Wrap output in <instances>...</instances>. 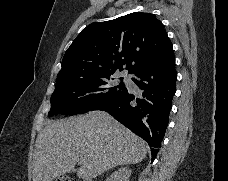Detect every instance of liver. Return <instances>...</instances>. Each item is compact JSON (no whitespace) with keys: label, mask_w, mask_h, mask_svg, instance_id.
Here are the masks:
<instances>
[{"label":"liver","mask_w":228,"mask_h":181,"mask_svg":"<svg viewBox=\"0 0 228 181\" xmlns=\"http://www.w3.org/2000/svg\"><path fill=\"white\" fill-rule=\"evenodd\" d=\"M147 151L143 139L103 111L49 121L37 137L33 181H53L77 163L78 179L92 181L119 165L141 163Z\"/></svg>","instance_id":"6515ba94"}]
</instances>
